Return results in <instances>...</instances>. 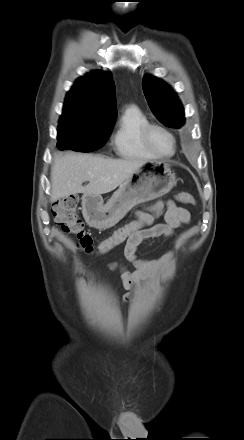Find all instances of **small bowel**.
Here are the masks:
<instances>
[{
    "mask_svg": "<svg viewBox=\"0 0 244 440\" xmlns=\"http://www.w3.org/2000/svg\"><path fill=\"white\" fill-rule=\"evenodd\" d=\"M162 211L163 218L161 222H154L145 229L136 232L130 236L124 248V255L128 261L134 264L136 271L129 272L120 267L121 279L123 286L129 292L125 295L126 300H130L132 292L139 285V281L143 278L157 275L161 269L167 264L171 257V253H167L156 260H142L137 258V247L145 239L156 238L160 236H172L175 229L180 228L190 221V213L183 207L178 206L173 201H159L148 207L146 210L137 212V217H142L150 212ZM113 268H116L114 266Z\"/></svg>",
    "mask_w": 244,
    "mask_h": 440,
    "instance_id": "1",
    "label": "small bowel"
}]
</instances>
